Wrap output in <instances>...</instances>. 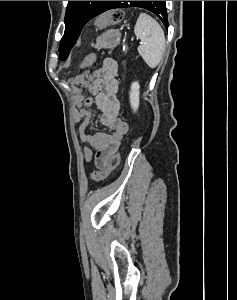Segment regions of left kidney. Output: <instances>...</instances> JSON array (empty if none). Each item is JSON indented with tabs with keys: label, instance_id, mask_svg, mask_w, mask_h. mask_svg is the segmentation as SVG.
Returning a JSON list of instances; mask_svg holds the SVG:
<instances>
[{
	"label": "left kidney",
	"instance_id": "1",
	"mask_svg": "<svg viewBox=\"0 0 237 300\" xmlns=\"http://www.w3.org/2000/svg\"><path fill=\"white\" fill-rule=\"evenodd\" d=\"M140 85L135 81V83H132L129 91V99H130V105L131 109H133V113H136L138 107H139V95H140Z\"/></svg>",
	"mask_w": 237,
	"mask_h": 300
}]
</instances>
